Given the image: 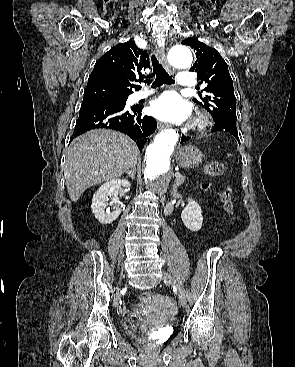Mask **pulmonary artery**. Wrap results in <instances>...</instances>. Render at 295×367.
I'll use <instances>...</instances> for the list:
<instances>
[{
  "label": "pulmonary artery",
  "instance_id": "obj_1",
  "mask_svg": "<svg viewBox=\"0 0 295 367\" xmlns=\"http://www.w3.org/2000/svg\"><path fill=\"white\" fill-rule=\"evenodd\" d=\"M178 83L184 87H194L197 84V81L192 73L183 71L178 75ZM152 93V91L139 92L135 95V99L140 100L148 95H151Z\"/></svg>",
  "mask_w": 295,
  "mask_h": 367
}]
</instances>
